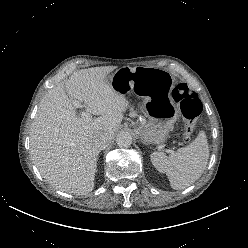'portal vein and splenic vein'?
Returning a JSON list of instances; mask_svg holds the SVG:
<instances>
[{
  "label": "portal vein and splenic vein",
  "instance_id": "1",
  "mask_svg": "<svg viewBox=\"0 0 248 248\" xmlns=\"http://www.w3.org/2000/svg\"><path fill=\"white\" fill-rule=\"evenodd\" d=\"M74 105L78 106V103L74 102ZM81 116H82L83 119H85L87 121L91 120V116H90V114L88 112H82Z\"/></svg>",
  "mask_w": 248,
  "mask_h": 248
}]
</instances>
